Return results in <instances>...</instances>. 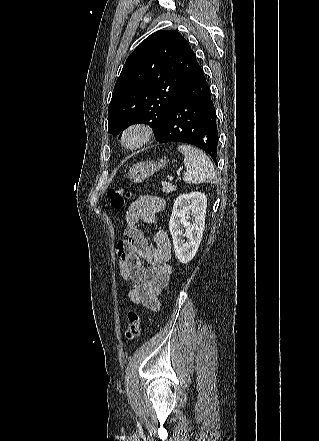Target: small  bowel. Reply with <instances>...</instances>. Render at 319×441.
Masks as SVG:
<instances>
[{"mask_svg":"<svg viewBox=\"0 0 319 441\" xmlns=\"http://www.w3.org/2000/svg\"><path fill=\"white\" fill-rule=\"evenodd\" d=\"M165 208L161 197L142 195L126 212L124 239L118 243L119 271L130 285L129 300L137 305L156 311L159 294L167 286L171 275L168 261L171 243L167 233L158 229L151 242L140 227L156 225L158 214Z\"/></svg>","mask_w":319,"mask_h":441,"instance_id":"c3829d8e","label":"small bowel"}]
</instances>
